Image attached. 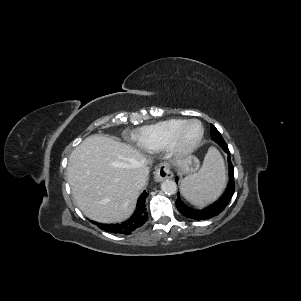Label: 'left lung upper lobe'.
Instances as JSON below:
<instances>
[{
	"instance_id": "left-lung-upper-lobe-1",
	"label": "left lung upper lobe",
	"mask_w": 301,
	"mask_h": 301,
	"mask_svg": "<svg viewBox=\"0 0 301 301\" xmlns=\"http://www.w3.org/2000/svg\"><path fill=\"white\" fill-rule=\"evenodd\" d=\"M212 132H214V133H216L218 136H220L221 138H222V136H221V134L219 133V131L216 129V127L215 126H213V125H211V133Z\"/></svg>"
}]
</instances>
